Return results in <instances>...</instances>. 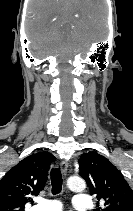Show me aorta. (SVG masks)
<instances>
[{
  "instance_id": "762f6f07",
  "label": "aorta",
  "mask_w": 133,
  "mask_h": 211,
  "mask_svg": "<svg viewBox=\"0 0 133 211\" xmlns=\"http://www.w3.org/2000/svg\"><path fill=\"white\" fill-rule=\"evenodd\" d=\"M67 186L72 191L82 192L86 188V183L81 177L72 176L68 178Z\"/></svg>"
}]
</instances>
